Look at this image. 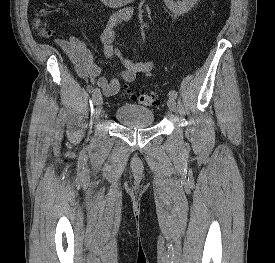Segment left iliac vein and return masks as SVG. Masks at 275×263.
Returning a JSON list of instances; mask_svg holds the SVG:
<instances>
[{
  "label": "left iliac vein",
  "instance_id": "left-iliac-vein-1",
  "mask_svg": "<svg viewBox=\"0 0 275 263\" xmlns=\"http://www.w3.org/2000/svg\"><path fill=\"white\" fill-rule=\"evenodd\" d=\"M167 106L170 111L175 112L176 111V101L174 98H169L167 101Z\"/></svg>",
  "mask_w": 275,
  "mask_h": 263
}]
</instances>
